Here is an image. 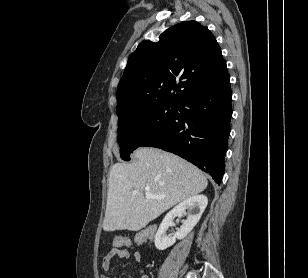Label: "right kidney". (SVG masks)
Returning <instances> with one entry per match:
<instances>
[{"label":"right kidney","mask_w":308,"mask_h":278,"mask_svg":"<svg viewBox=\"0 0 308 278\" xmlns=\"http://www.w3.org/2000/svg\"><path fill=\"white\" fill-rule=\"evenodd\" d=\"M207 204L208 199L205 195H196L181 202L167 213L155 235L154 242L156 248L158 250H165L172 246L176 242V239L186 237L200 220ZM186 209H189L190 213L180 229L177 230L174 236H167L166 230L173 225V219L175 217H182Z\"/></svg>","instance_id":"ca27d5eb"}]
</instances>
